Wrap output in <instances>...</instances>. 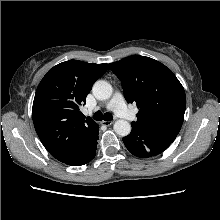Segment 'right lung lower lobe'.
<instances>
[{
	"label": "right lung lower lobe",
	"instance_id": "obj_1",
	"mask_svg": "<svg viewBox=\"0 0 220 220\" xmlns=\"http://www.w3.org/2000/svg\"><path fill=\"white\" fill-rule=\"evenodd\" d=\"M98 134L99 129L83 147H81L73 156L63 161V163L71 166H81L91 161L96 155Z\"/></svg>",
	"mask_w": 220,
	"mask_h": 220
}]
</instances>
